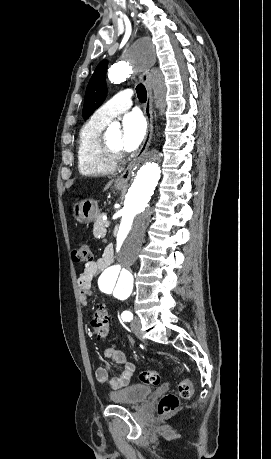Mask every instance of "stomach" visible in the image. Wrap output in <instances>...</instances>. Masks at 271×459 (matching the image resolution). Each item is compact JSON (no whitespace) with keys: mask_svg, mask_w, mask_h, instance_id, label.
<instances>
[{"mask_svg":"<svg viewBox=\"0 0 271 459\" xmlns=\"http://www.w3.org/2000/svg\"><path fill=\"white\" fill-rule=\"evenodd\" d=\"M114 188L117 190V192H121V190H124L126 186H124V188L123 186H114ZM99 214L100 210L95 200H80V202L73 204L72 216L74 220L81 222V224H83V222H85V224L93 222V220H96Z\"/></svg>","mask_w":271,"mask_h":459,"instance_id":"stomach-1","label":"stomach"}]
</instances>
